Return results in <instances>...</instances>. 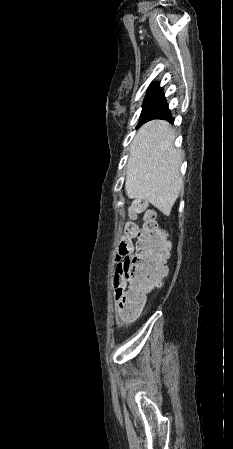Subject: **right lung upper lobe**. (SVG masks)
<instances>
[{"label": "right lung upper lobe", "mask_w": 233, "mask_h": 449, "mask_svg": "<svg viewBox=\"0 0 233 449\" xmlns=\"http://www.w3.org/2000/svg\"><path fill=\"white\" fill-rule=\"evenodd\" d=\"M157 91H162V89L160 88L158 82L152 84V86H150V88L148 89V92H147V93H150V92H157Z\"/></svg>", "instance_id": "obj_1"}]
</instances>
